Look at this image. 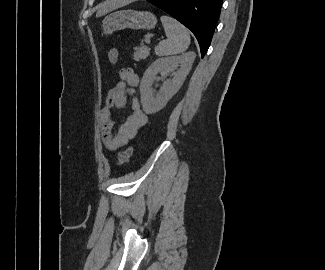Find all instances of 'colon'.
<instances>
[{"mask_svg":"<svg viewBox=\"0 0 325 270\" xmlns=\"http://www.w3.org/2000/svg\"><path fill=\"white\" fill-rule=\"evenodd\" d=\"M119 58V52L116 48H112L108 52V61L110 64H116ZM133 153V148L129 147L125 151L118 154L117 163L119 165L127 162Z\"/></svg>","mask_w":325,"mask_h":270,"instance_id":"colon-1","label":"colon"}]
</instances>
